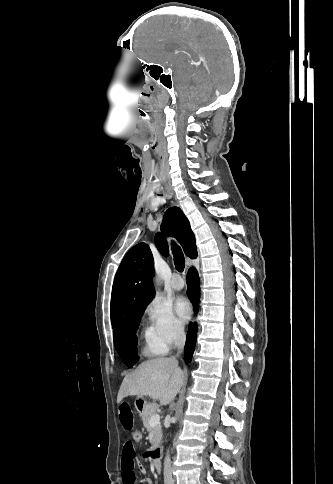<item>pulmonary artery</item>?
Returning a JSON list of instances; mask_svg holds the SVG:
<instances>
[{"label": "pulmonary artery", "instance_id": "1", "mask_svg": "<svg viewBox=\"0 0 333 484\" xmlns=\"http://www.w3.org/2000/svg\"><path fill=\"white\" fill-rule=\"evenodd\" d=\"M171 286L175 290H180L184 287V280L180 276V274L175 273L173 274L172 280H171Z\"/></svg>", "mask_w": 333, "mask_h": 484}]
</instances>
